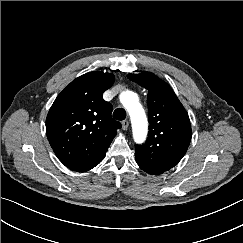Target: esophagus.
Here are the masks:
<instances>
[{"label": "esophagus", "mask_w": 243, "mask_h": 243, "mask_svg": "<svg viewBox=\"0 0 243 243\" xmlns=\"http://www.w3.org/2000/svg\"><path fill=\"white\" fill-rule=\"evenodd\" d=\"M122 129L127 130L129 127V122L127 120L122 121Z\"/></svg>", "instance_id": "esophagus-1"}]
</instances>
